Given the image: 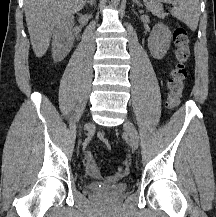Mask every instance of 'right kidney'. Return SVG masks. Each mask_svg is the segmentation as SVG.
Segmentation results:
<instances>
[{
	"instance_id": "right-kidney-1",
	"label": "right kidney",
	"mask_w": 216,
	"mask_h": 217,
	"mask_svg": "<svg viewBox=\"0 0 216 217\" xmlns=\"http://www.w3.org/2000/svg\"><path fill=\"white\" fill-rule=\"evenodd\" d=\"M73 26L74 18L72 16L62 19L56 26L52 40V56L55 62L62 61L73 47Z\"/></svg>"
}]
</instances>
